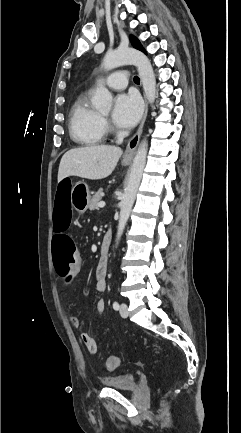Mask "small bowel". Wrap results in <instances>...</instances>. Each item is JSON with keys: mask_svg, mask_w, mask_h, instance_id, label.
<instances>
[{"mask_svg": "<svg viewBox=\"0 0 241 433\" xmlns=\"http://www.w3.org/2000/svg\"><path fill=\"white\" fill-rule=\"evenodd\" d=\"M107 267L108 263L106 259L100 258L96 266V290L98 292H104L107 288ZM105 301L104 299H99L96 304V310L98 313H103L105 311ZM70 322L74 328L80 326V320L77 316H71ZM81 339L85 344L87 350L91 354H95L98 351V344L94 338H92L88 333H82Z\"/></svg>", "mask_w": 241, "mask_h": 433, "instance_id": "obj_1", "label": "small bowel"}]
</instances>
